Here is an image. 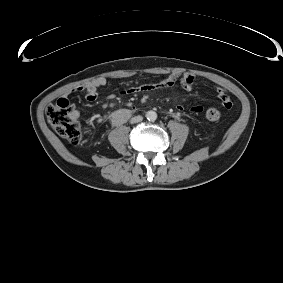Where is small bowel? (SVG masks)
Returning <instances> with one entry per match:
<instances>
[{
    "instance_id": "c3829d8e",
    "label": "small bowel",
    "mask_w": 283,
    "mask_h": 283,
    "mask_svg": "<svg viewBox=\"0 0 283 283\" xmlns=\"http://www.w3.org/2000/svg\"><path fill=\"white\" fill-rule=\"evenodd\" d=\"M106 84V80L103 77H97L93 80L87 82L84 85L78 86L72 89V93L76 92H83L85 94V98L89 102L95 101L99 96V89ZM176 84H180L183 89L186 91H191L195 85V76L191 73H172L166 78L155 82V83H148L143 84L140 86H134L126 89L124 91L127 95H134V94H149L159 90H166L174 87ZM217 97L220 99L222 106L225 109H230L231 99L228 93L221 87H216L214 89ZM184 107L182 105L176 106V113L180 114L183 112ZM191 112L193 114H200L203 112L204 108L202 105H194L191 107ZM74 116L79 118L80 111L74 110Z\"/></svg>"
}]
</instances>
